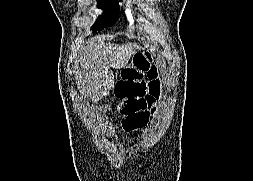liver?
Segmentation results:
<instances>
[{"mask_svg": "<svg viewBox=\"0 0 253 181\" xmlns=\"http://www.w3.org/2000/svg\"><path fill=\"white\" fill-rule=\"evenodd\" d=\"M141 47L128 42L121 46L94 40L82 47L77 59L78 89L83 95L99 100L114 86L111 67L122 69Z\"/></svg>", "mask_w": 253, "mask_h": 181, "instance_id": "obj_1", "label": "liver"}]
</instances>
